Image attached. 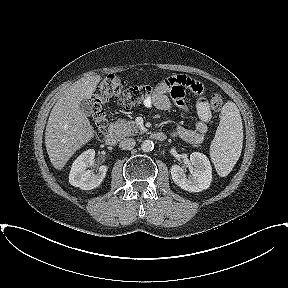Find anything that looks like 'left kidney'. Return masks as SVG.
Returning <instances> with one entry per match:
<instances>
[{
	"label": "left kidney",
	"mask_w": 288,
	"mask_h": 288,
	"mask_svg": "<svg viewBox=\"0 0 288 288\" xmlns=\"http://www.w3.org/2000/svg\"><path fill=\"white\" fill-rule=\"evenodd\" d=\"M191 171L186 175L179 165H172L171 176L176 185L189 192L207 189L212 181V167L206 155L193 152L190 155Z\"/></svg>",
	"instance_id": "1"
}]
</instances>
